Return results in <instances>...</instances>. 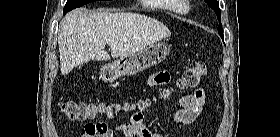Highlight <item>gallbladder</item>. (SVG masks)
Wrapping results in <instances>:
<instances>
[{
	"instance_id": "gallbladder-1",
	"label": "gallbladder",
	"mask_w": 280,
	"mask_h": 137,
	"mask_svg": "<svg viewBox=\"0 0 280 137\" xmlns=\"http://www.w3.org/2000/svg\"><path fill=\"white\" fill-rule=\"evenodd\" d=\"M83 65H78V69H81Z\"/></svg>"
}]
</instances>
